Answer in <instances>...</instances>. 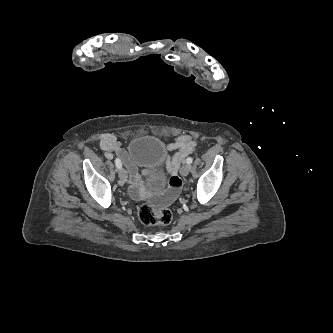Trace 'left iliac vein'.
Masks as SVG:
<instances>
[{"mask_svg": "<svg viewBox=\"0 0 333 333\" xmlns=\"http://www.w3.org/2000/svg\"><path fill=\"white\" fill-rule=\"evenodd\" d=\"M190 169H191V166L188 165V164H185L181 167V170H180V174L185 177L189 174L190 172Z\"/></svg>", "mask_w": 333, "mask_h": 333, "instance_id": "obj_1", "label": "left iliac vein"}]
</instances>
